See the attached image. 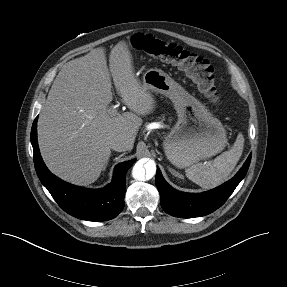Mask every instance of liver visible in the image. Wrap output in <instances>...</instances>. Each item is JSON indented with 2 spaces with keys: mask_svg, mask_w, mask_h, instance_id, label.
<instances>
[{
  "mask_svg": "<svg viewBox=\"0 0 287 287\" xmlns=\"http://www.w3.org/2000/svg\"><path fill=\"white\" fill-rule=\"evenodd\" d=\"M93 49L67 62L55 78L38 119V144L49 170L75 185L95 182L110 157L109 142L124 139L132 150L142 125L140 116L152 112L155 101L135 76L125 41L109 56ZM111 75L123 103L130 109L111 113Z\"/></svg>",
  "mask_w": 287,
  "mask_h": 287,
  "instance_id": "obj_1",
  "label": "liver"
}]
</instances>
